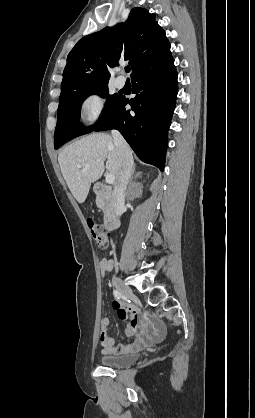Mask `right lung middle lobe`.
Instances as JSON below:
<instances>
[{"instance_id":"dd1d6c3e","label":"right lung middle lobe","mask_w":255,"mask_h":418,"mask_svg":"<svg viewBox=\"0 0 255 418\" xmlns=\"http://www.w3.org/2000/svg\"><path fill=\"white\" fill-rule=\"evenodd\" d=\"M107 84L108 82L100 83L61 93L54 134L55 149L77 136L91 132L109 117L120 95H109ZM92 94L107 98L106 107L96 124L86 128L80 123L81 105Z\"/></svg>"}]
</instances>
